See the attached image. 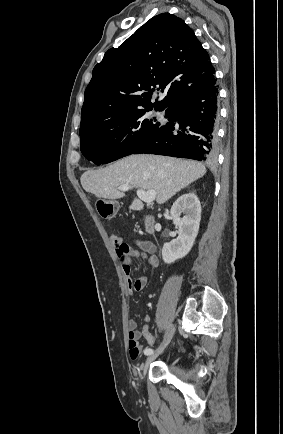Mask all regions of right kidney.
Returning <instances> with one entry per match:
<instances>
[{
    "label": "right kidney",
    "mask_w": 283,
    "mask_h": 434,
    "mask_svg": "<svg viewBox=\"0 0 283 434\" xmlns=\"http://www.w3.org/2000/svg\"><path fill=\"white\" fill-rule=\"evenodd\" d=\"M170 213L178 228V237L163 245L162 258L167 264L185 257L190 252L199 231L200 201L194 193L184 194L175 201ZM182 213L184 216L180 217Z\"/></svg>",
    "instance_id": "obj_1"
}]
</instances>
